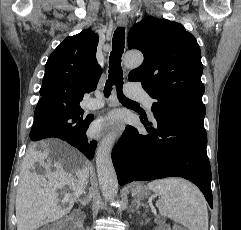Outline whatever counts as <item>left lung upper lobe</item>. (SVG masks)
Returning <instances> with one entry per match:
<instances>
[{"label": "left lung upper lobe", "mask_w": 241, "mask_h": 230, "mask_svg": "<svg viewBox=\"0 0 241 230\" xmlns=\"http://www.w3.org/2000/svg\"><path fill=\"white\" fill-rule=\"evenodd\" d=\"M128 48L144 55L143 63L129 73L128 79L141 82L156 99L153 111L169 109L204 119L201 52L195 37L183 25L146 17L130 29Z\"/></svg>", "instance_id": "5c2ea615"}]
</instances>
